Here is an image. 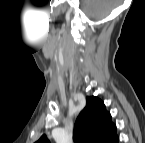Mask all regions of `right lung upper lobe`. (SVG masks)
I'll return each instance as SVG.
<instances>
[{
	"instance_id": "1",
	"label": "right lung upper lobe",
	"mask_w": 145,
	"mask_h": 143,
	"mask_svg": "<svg viewBox=\"0 0 145 143\" xmlns=\"http://www.w3.org/2000/svg\"><path fill=\"white\" fill-rule=\"evenodd\" d=\"M86 107L77 117L74 126V141L81 143H117L116 126L111 115L106 111L104 103L97 97L87 96ZM37 143H49L43 135Z\"/></svg>"
}]
</instances>
